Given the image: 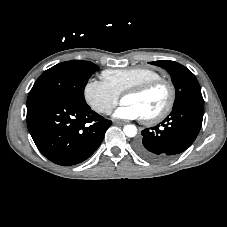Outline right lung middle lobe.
<instances>
[{"label":"right lung middle lobe","instance_id":"obj_1","mask_svg":"<svg viewBox=\"0 0 227 227\" xmlns=\"http://www.w3.org/2000/svg\"><path fill=\"white\" fill-rule=\"evenodd\" d=\"M99 67L90 61L72 60L44 71L36 80L27 104L39 99H53L85 104L82 87Z\"/></svg>","mask_w":227,"mask_h":227}]
</instances>
